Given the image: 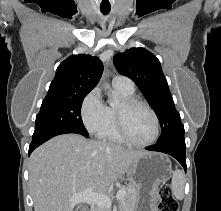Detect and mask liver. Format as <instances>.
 <instances>
[{
  "label": "liver",
  "instance_id": "liver-1",
  "mask_svg": "<svg viewBox=\"0 0 221 211\" xmlns=\"http://www.w3.org/2000/svg\"><path fill=\"white\" fill-rule=\"evenodd\" d=\"M144 153L78 134L52 138L29 159L34 211H84L80 207L74 210L68 200L87 189L104 194Z\"/></svg>",
  "mask_w": 221,
  "mask_h": 211
}]
</instances>
